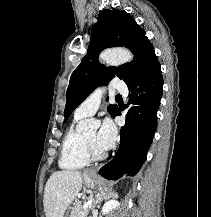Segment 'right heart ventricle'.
<instances>
[{"label":"right heart ventricle","instance_id":"right-heart-ventricle-1","mask_svg":"<svg viewBox=\"0 0 211 217\" xmlns=\"http://www.w3.org/2000/svg\"><path fill=\"white\" fill-rule=\"evenodd\" d=\"M82 117L75 116L61 144L59 166L66 170H77L87 166L90 159L86 153L84 136L78 131L77 123Z\"/></svg>","mask_w":211,"mask_h":217}]
</instances>
